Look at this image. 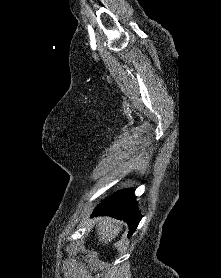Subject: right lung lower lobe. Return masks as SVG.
I'll return each mask as SVG.
<instances>
[{
  "label": "right lung lower lobe",
  "mask_w": 221,
  "mask_h": 278,
  "mask_svg": "<svg viewBox=\"0 0 221 278\" xmlns=\"http://www.w3.org/2000/svg\"><path fill=\"white\" fill-rule=\"evenodd\" d=\"M96 215H109L128 222L129 236H131L141 219L134 190L124 189L114 193L98 205L92 216Z\"/></svg>",
  "instance_id": "98d812e1"
}]
</instances>
